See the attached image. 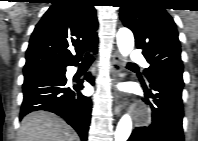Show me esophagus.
I'll list each match as a JSON object with an SVG mask.
<instances>
[{
  "instance_id": "obj_1",
  "label": "esophagus",
  "mask_w": 198,
  "mask_h": 141,
  "mask_svg": "<svg viewBox=\"0 0 198 141\" xmlns=\"http://www.w3.org/2000/svg\"><path fill=\"white\" fill-rule=\"evenodd\" d=\"M123 71L122 58L118 52H115L112 56V74L114 80L118 81V74ZM125 106V98L122 93H116L115 95V109L114 113L120 115L123 107Z\"/></svg>"
}]
</instances>
